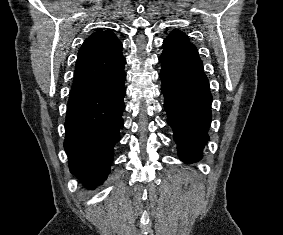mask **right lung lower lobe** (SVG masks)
Returning <instances> with one entry per match:
<instances>
[{"instance_id": "obj_1", "label": "right lung lower lobe", "mask_w": 283, "mask_h": 235, "mask_svg": "<svg viewBox=\"0 0 283 235\" xmlns=\"http://www.w3.org/2000/svg\"><path fill=\"white\" fill-rule=\"evenodd\" d=\"M126 75L72 87L67 104L64 147L70 171L93 188L107 177L123 125Z\"/></svg>"}]
</instances>
